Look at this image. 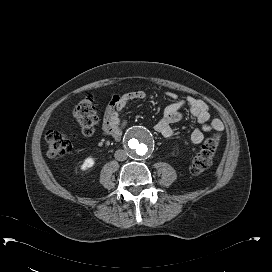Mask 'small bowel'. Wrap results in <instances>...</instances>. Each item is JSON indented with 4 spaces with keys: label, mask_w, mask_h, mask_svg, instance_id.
Instances as JSON below:
<instances>
[{
    "label": "small bowel",
    "mask_w": 272,
    "mask_h": 272,
    "mask_svg": "<svg viewBox=\"0 0 272 272\" xmlns=\"http://www.w3.org/2000/svg\"><path fill=\"white\" fill-rule=\"evenodd\" d=\"M165 97L173 102L164 109L162 118L155 125L156 132L161 136L170 137L172 135V126L183 118L181 113L183 106L188 107L191 116L200 124V128H195L191 133L190 140L192 144L201 143L205 133L223 129V123L220 119L210 120L209 107L204 100L193 96L180 99L172 92H166ZM145 98L146 93L142 90L114 95L105 109L103 120L104 133L114 136L116 140H120L122 137L120 112L129 102Z\"/></svg>",
    "instance_id": "c3829d8e"
}]
</instances>
